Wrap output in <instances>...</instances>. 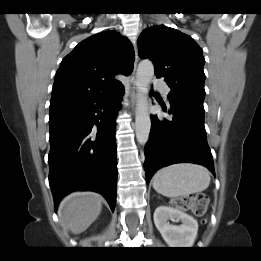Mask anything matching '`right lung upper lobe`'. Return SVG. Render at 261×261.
I'll list each match as a JSON object with an SVG mask.
<instances>
[{"label": "right lung upper lobe", "mask_w": 261, "mask_h": 261, "mask_svg": "<svg viewBox=\"0 0 261 261\" xmlns=\"http://www.w3.org/2000/svg\"><path fill=\"white\" fill-rule=\"evenodd\" d=\"M131 43L114 31H105L80 42L56 72L50 107L95 94L112 92L122 83L117 74L133 70Z\"/></svg>", "instance_id": "1"}]
</instances>
